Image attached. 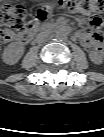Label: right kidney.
<instances>
[{"instance_id": "obj_1", "label": "right kidney", "mask_w": 104, "mask_h": 137, "mask_svg": "<svg viewBox=\"0 0 104 137\" xmlns=\"http://www.w3.org/2000/svg\"><path fill=\"white\" fill-rule=\"evenodd\" d=\"M24 53V46L19 42L10 43L2 54V60L9 65L16 64Z\"/></svg>"}]
</instances>
